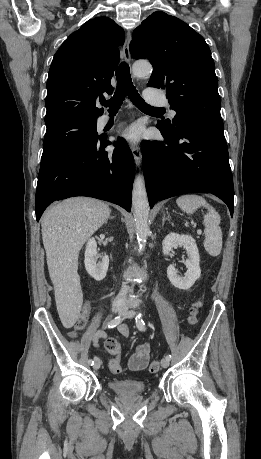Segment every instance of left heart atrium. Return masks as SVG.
Returning <instances> with one entry per match:
<instances>
[{
	"label": "left heart atrium",
	"instance_id": "left-heart-atrium-1",
	"mask_svg": "<svg viewBox=\"0 0 261 459\" xmlns=\"http://www.w3.org/2000/svg\"><path fill=\"white\" fill-rule=\"evenodd\" d=\"M121 136L126 139L127 141L130 142H135L140 139L141 137V130L137 126H131L127 129H125L122 133Z\"/></svg>",
	"mask_w": 261,
	"mask_h": 459
}]
</instances>
